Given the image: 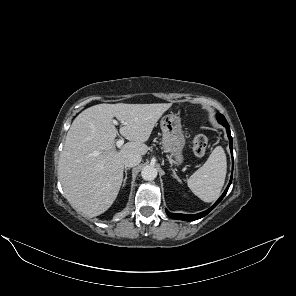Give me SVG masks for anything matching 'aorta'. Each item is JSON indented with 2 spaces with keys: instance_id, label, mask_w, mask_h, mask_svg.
Returning <instances> with one entry per match:
<instances>
[{
  "instance_id": "obj_1",
  "label": "aorta",
  "mask_w": 296,
  "mask_h": 296,
  "mask_svg": "<svg viewBox=\"0 0 296 296\" xmlns=\"http://www.w3.org/2000/svg\"><path fill=\"white\" fill-rule=\"evenodd\" d=\"M144 180L151 181L157 177V169L154 166L147 165L141 171Z\"/></svg>"
}]
</instances>
